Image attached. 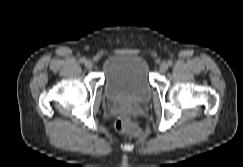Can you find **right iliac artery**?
Instances as JSON below:
<instances>
[{
	"label": "right iliac artery",
	"instance_id": "right-iliac-artery-1",
	"mask_svg": "<svg viewBox=\"0 0 243 167\" xmlns=\"http://www.w3.org/2000/svg\"><path fill=\"white\" fill-rule=\"evenodd\" d=\"M85 61H86V59L84 57L79 60V62H81V63H84Z\"/></svg>",
	"mask_w": 243,
	"mask_h": 167
}]
</instances>
